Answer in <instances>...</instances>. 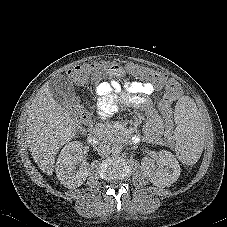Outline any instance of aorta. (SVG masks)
<instances>
[{
  "label": "aorta",
  "instance_id": "1",
  "mask_svg": "<svg viewBox=\"0 0 227 227\" xmlns=\"http://www.w3.org/2000/svg\"><path fill=\"white\" fill-rule=\"evenodd\" d=\"M121 151H122V147L120 145L115 144V145L112 146V153L113 154H116V155L120 154Z\"/></svg>",
  "mask_w": 227,
  "mask_h": 227
}]
</instances>
